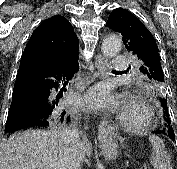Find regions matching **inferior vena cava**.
I'll return each mask as SVG.
<instances>
[{
	"label": "inferior vena cava",
	"instance_id": "inferior-vena-cava-1",
	"mask_svg": "<svg viewBox=\"0 0 177 169\" xmlns=\"http://www.w3.org/2000/svg\"><path fill=\"white\" fill-rule=\"evenodd\" d=\"M79 132L65 129L61 132L59 142L60 169H81L79 158Z\"/></svg>",
	"mask_w": 177,
	"mask_h": 169
}]
</instances>
